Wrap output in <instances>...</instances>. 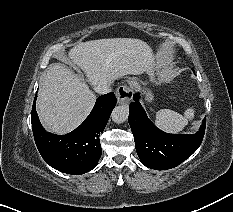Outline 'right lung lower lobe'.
<instances>
[{"mask_svg": "<svg viewBox=\"0 0 233 212\" xmlns=\"http://www.w3.org/2000/svg\"><path fill=\"white\" fill-rule=\"evenodd\" d=\"M31 114L35 143L43 159L54 169L80 175L96 167L102 149L99 136L116 105L114 93L100 96L86 120L74 131L57 136L42 127L35 108Z\"/></svg>", "mask_w": 233, "mask_h": 212, "instance_id": "1", "label": "right lung lower lobe"}]
</instances>
